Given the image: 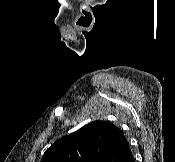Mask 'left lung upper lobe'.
<instances>
[{
    "mask_svg": "<svg viewBox=\"0 0 175 162\" xmlns=\"http://www.w3.org/2000/svg\"><path fill=\"white\" fill-rule=\"evenodd\" d=\"M125 140L115 125L96 120L56 140L41 162H106L116 146Z\"/></svg>",
    "mask_w": 175,
    "mask_h": 162,
    "instance_id": "1",
    "label": "left lung upper lobe"
}]
</instances>
